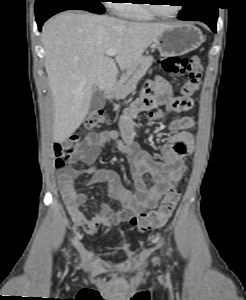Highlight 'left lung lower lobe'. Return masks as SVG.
Instances as JSON below:
<instances>
[{
    "instance_id": "1",
    "label": "left lung lower lobe",
    "mask_w": 246,
    "mask_h": 300,
    "mask_svg": "<svg viewBox=\"0 0 246 300\" xmlns=\"http://www.w3.org/2000/svg\"><path fill=\"white\" fill-rule=\"evenodd\" d=\"M218 7L211 0H196L190 7L182 10L180 20H195L206 23L216 33Z\"/></svg>"
}]
</instances>
